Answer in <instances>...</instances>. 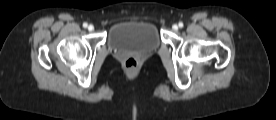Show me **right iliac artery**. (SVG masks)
Listing matches in <instances>:
<instances>
[{
    "label": "right iliac artery",
    "instance_id": "82829eb1",
    "mask_svg": "<svg viewBox=\"0 0 276 120\" xmlns=\"http://www.w3.org/2000/svg\"><path fill=\"white\" fill-rule=\"evenodd\" d=\"M88 26L87 23H83V27L86 28Z\"/></svg>",
    "mask_w": 276,
    "mask_h": 120
}]
</instances>
